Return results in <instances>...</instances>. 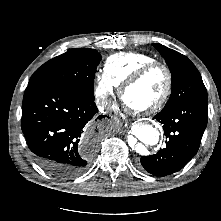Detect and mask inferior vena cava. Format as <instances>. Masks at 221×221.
Returning <instances> with one entry per match:
<instances>
[{"mask_svg":"<svg viewBox=\"0 0 221 221\" xmlns=\"http://www.w3.org/2000/svg\"><path fill=\"white\" fill-rule=\"evenodd\" d=\"M97 105L99 111L102 113H107L111 108V103L108 100H100Z\"/></svg>","mask_w":221,"mask_h":221,"instance_id":"inferior-vena-cava-1","label":"inferior vena cava"}]
</instances>
